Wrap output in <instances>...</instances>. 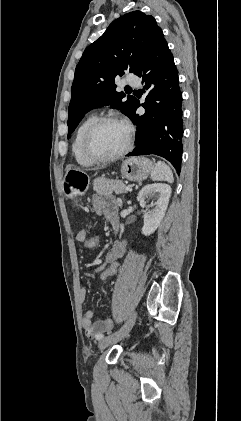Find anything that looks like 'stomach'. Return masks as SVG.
<instances>
[{
  "mask_svg": "<svg viewBox=\"0 0 241 421\" xmlns=\"http://www.w3.org/2000/svg\"><path fill=\"white\" fill-rule=\"evenodd\" d=\"M154 169L152 162L145 157H131L121 164V174L130 181L145 180ZM90 184L89 176L80 169H68L63 179V192L72 201L73 207L79 206V199Z\"/></svg>",
  "mask_w": 241,
  "mask_h": 421,
  "instance_id": "1",
  "label": "stomach"
}]
</instances>
